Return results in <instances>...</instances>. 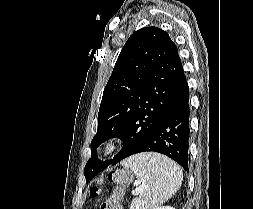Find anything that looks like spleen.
<instances>
[{"instance_id":"spleen-1","label":"spleen","mask_w":253,"mask_h":209,"mask_svg":"<svg viewBox=\"0 0 253 209\" xmlns=\"http://www.w3.org/2000/svg\"><path fill=\"white\" fill-rule=\"evenodd\" d=\"M130 168L142 182V192L130 209H151L163 204L181 187L183 173L171 159L157 153H141L121 163Z\"/></svg>"}]
</instances>
